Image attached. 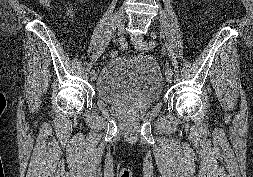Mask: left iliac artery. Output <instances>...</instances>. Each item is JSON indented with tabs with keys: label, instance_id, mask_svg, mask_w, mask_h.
Returning <instances> with one entry per match:
<instances>
[{
	"label": "left iliac artery",
	"instance_id": "left-iliac-artery-1",
	"mask_svg": "<svg viewBox=\"0 0 253 177\" xmlns=\"http://www.w3.org/2000/svg\"><path fill=\"white\" fill-rule=\"evenodd\" d=\"M156 45H157V43L155 41H149V42L140 43V47L143 48L144 50H150V49L154 48ZM165 73H171V74H173L172 68L168 67L166 69Z\"/></svg>",
	"mask_w": 253,
	"mask_h": 177
}]
</instances>
